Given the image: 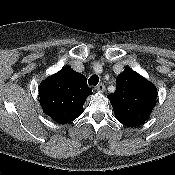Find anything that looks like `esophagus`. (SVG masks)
Returning a JSON list of instances; mask_svg holds the SVG:
<instances>
[{
    "mask_svg": "<svg viewBox=\"0 0 175 175\" xmlns=\"http://www.w3.org/2000/svg\"><path fill=\"white\" fill-rule=\"evenodd\" d=\"M95 90H96L97 92H104V90H105V85H104L103 83H100V84H98V85L96 86Z\"/></svg>",
    "mask_w": 175,
    "mask_h": 175,
    "instance_id": "1",
    "label": "esophagus"
}]
</instances>
